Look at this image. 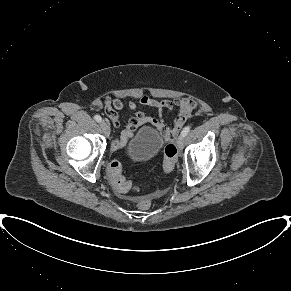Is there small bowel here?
<instances>
[{
	"label": "small bowel",
	"mask_w": 291,
	"mask_h": 291,
	"mask_svg": "<svg viewBox=\"0 0 291 291\" xmlns=\"http://www.w3.org/2000/svg\"><path fill=\"white\" fill-rule=\"evenodd\" d=\"M138 103L143 106L157 109L159 111L158 117L147 115L142 111H137ZM138 103L133 100L128 103L129 109L134 111V113L126 123L124 129L120 132L119 136L113 140L111 144L112 151L122 149L127 141L133 137L134 131L147 123L154 126V128L160 132L166 140H173L197 108V103L187 97L168 101L153 99L143 94L138 97ZM104 109L112 123L116 127H119L120 118L118 113L124 109L123 102L119 98L114 100L106 99L104 101ZM173 110H177L178 113L173 124L169 126L163 120V113Z\"/></svg>",
	"instance_id": "obj_1"
}]
</instances>
